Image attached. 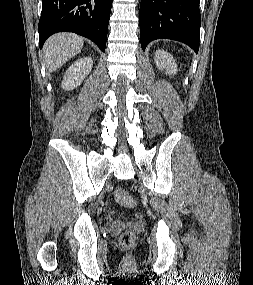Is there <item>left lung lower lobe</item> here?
Returning <instances> with one entry per match:
<instances>
[{"instance_id": "0a47b994", "label": "left lung lower lobe", "mask_w": 253, "mask_h": 285, "mask_svg": "<svg viewBox=\"0 0 253 285\" xmlns=\"http://www.w3.org/2000/svg\"><path fill=\"white\" fill-rule=\"evenodd\" d=\"M200 0H142L140 40L145 50L149 42L172 39L183 42L196 53L199 50Z\"/></svg>"}]
</instances>
